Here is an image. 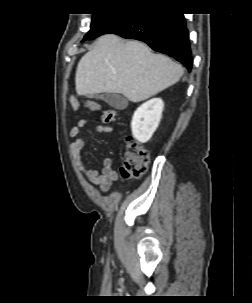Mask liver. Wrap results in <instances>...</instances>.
Listing matches in <instances>:
<instances>
[{"label": "liver", "mask_w": 252, "mask_h": 303, "mask_svg": "<svg viewBox=\"0 0 252 303\" xmlns=\"http://www.w3.org/2000/svg\"><path fill=\"white\" fill-rule=\"evenodd\" d=\"M183 73L180 64L144 43L107 34L79 61L75 86L78 95L122 94L136 103L177 83Z\"/></svg>", "instance_id": "1"}]
</instances>
